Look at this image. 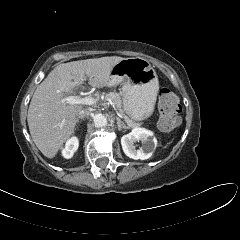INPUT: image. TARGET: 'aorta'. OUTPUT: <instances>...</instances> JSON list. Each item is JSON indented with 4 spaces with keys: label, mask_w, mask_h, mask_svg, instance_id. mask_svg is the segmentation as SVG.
I'll return each instance as SVG.
<instances>
[{
    "label": "aorta",
    "mask_w": 240,
    "mask_h": 240,
    "mask_svg": "<svg viewBox=\"0 0 240 240\" xmlns=\"http://www.w3.org/2000/svg\"><path fill=\"white\" fill-rule=\"evenodd\" d=\"M95 127L101 128L107 125V118L102 114H96L93 118Z\"/></svg>",
    "instance_id": "762f6f07"
}]
</instances>
